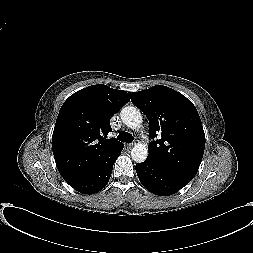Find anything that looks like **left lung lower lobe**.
I'll use <instances>...</instances> for the list:
<instances>
[{
    "label": "left lung lower lobe",
    "instance_id": "0a47b994",
    "mask_svg": "<svg viewBox=\"0 0 253 253\" xmlns=\"http://www.w3.org/2000/svg\"><path fill=\"white\" fill-rule=\"evenodd\" d=\"M135 168L142 185L155 195H172L190 182V180L163 169L148 159L137 163Z\"/></svg>",
    "mask_w": 253,
    "mask_h": 253
}]
</instances>
